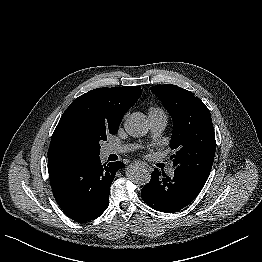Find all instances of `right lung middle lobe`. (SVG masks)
Here are the masks:
<instances>
[{
	"mask_svg": "<svg viewBox=\"0 0 262 262\" xmlns=\"http://www.w3.org/2000/svg\"><path fill=\"white\" fill-rule=\"evenodd\" d=\"M117 132L88 119H77L64 134L59 153L70 158L98 156L100 142L106 141L107 135Z\"/></svg>",
	"mask_w": 262,
	"mask_h": 262,
	"instance_id": "right-lung-middle-lobe-1",
	"label": "right lung middle lobe"
}]
</instances>
